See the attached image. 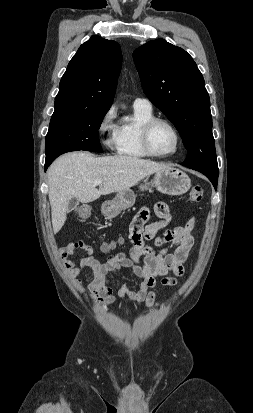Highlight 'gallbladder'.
<instances>
[{
    "label": "gallbladder",
    "instance_id": "obj_1",
    "mask_svg": "<svg viewBox=\"0 0 253 413\" xmlns=\"http://www.w3.org/2000/svg\"><path fill=\"white\" fill-rule=\"evenodd\" d=\"M77 205H79V200L76 198H72L68 204L67 211H72L74 208H76Z\"/></svg>",
    "mask_w": 253,
    "mask_h": 413
}]
</instances>
